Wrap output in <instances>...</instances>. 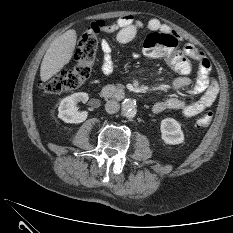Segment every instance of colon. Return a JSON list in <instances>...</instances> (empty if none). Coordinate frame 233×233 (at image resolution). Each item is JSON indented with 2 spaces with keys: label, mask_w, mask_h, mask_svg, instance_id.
Instances as JSON below:
<instances>
[{
  "label": "colon",
  "mask_w": 233,
  "mask_h": 233,
  "mask_svg": "<svg viewBox=\"0 0 233 233\" xmlns=\"http://www.w3.org/2000/svg\"><path fill=\"white\" fill-rule=\"evenodd\" d=\"M106 27L103 21L89 26L82 34L75 56V65L71 70L62 71L43 84V89L49 94H59L82 87L91 77L98 48V34ZM144 52L152 58H162L176 73L186 75L192 65L190 58L179 46L178 38L172 33L155 32L148 35L143 44ZM213 119V112L204 113L197 125L207 127Z\"/></svg>",
  "instance_id": "1"
}]
</instances>
